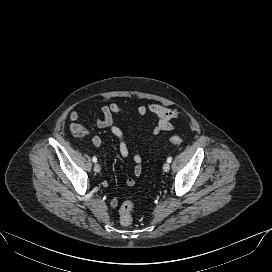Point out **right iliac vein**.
<instances>
[{
	"label": "right iliac vein",
	"mask_w": 272,
	"mask_h": 272,
	"mask_svg": "<svg viewBox=\"0 0 272 272\" xmlns=\"http://www.w3.org/2000/svg\"><path fill=\"white\" fill-rule=\"evenodd\" d=\"M100 170H101L100 165H99L98 163H96V164L94 165V171H95L96 173H99Z\"/></svg>",
	"instance_id": "63e3f726"
}]
</instances>
